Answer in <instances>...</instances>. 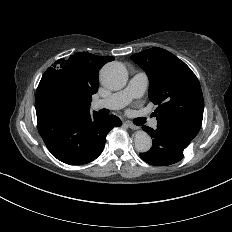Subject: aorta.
<instances>
[{"label":"aorta","instance_id":"obj_1","mask_svg":"<svg viewBox=\"0 0 232 232\" xmlns=\"http://www.w3.org/2000/svg\"><path fill=\"white\" fill-rule=\"evenodd\" d=\"M101 83L110 90L122 89L128 80V72L120 62H109L100 71ZM135 148L139 152H147L152 146L151 137L142 130L134 134Z\"/></svg>","mask_w":232,"mask_h":232}]
</instances>
